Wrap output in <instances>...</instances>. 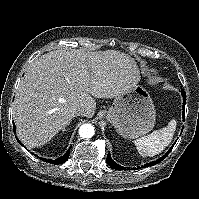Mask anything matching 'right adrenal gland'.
Returning a JSON list of instances; mask_svg holds the SVG:
<instances>
[{"mask_svg":"<svg viewBox=\"0 0 199 199\" xmlns=\"http://www.w3.org/2000/svg\"><path fill=\"white\" fill-rule=\"evenodd\" d=\"M68 125H69V124H68ZM66 127H67V125H66ZM66 127H64V128L62 129V132L66 131Z\"/></svg>","mask_w":199,"mask_h":199,"instance_id":"1","label":"right adrenal gland"}]
</instances>
